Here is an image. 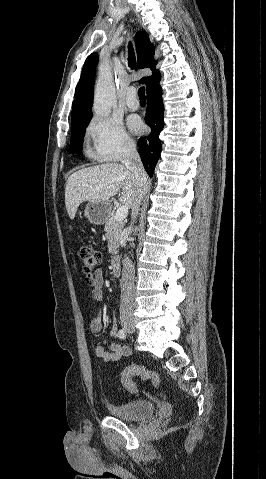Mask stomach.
<instances>
[{
  "label": "stomach",
  "mask_w": 266,
  "mask_h": 479,
  "mask_svg": "<svg viewBox=\"0 0 266 479\" xmlns=\"http://www.w3.org/2000/svg\"><path fill=\"white\" fill-rule=\"evenodd\" d=\"M111 212L108 202H89L85 208V215L92 224L100 225L106 222Z\"/></svg>",
  "instance_id": "stomach-1"
}]
</instances>
